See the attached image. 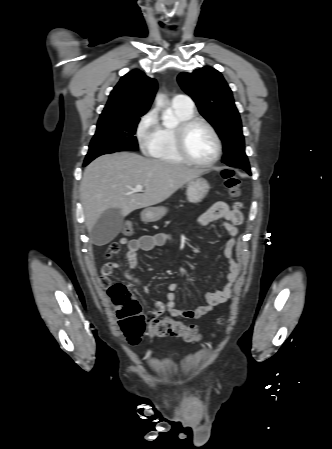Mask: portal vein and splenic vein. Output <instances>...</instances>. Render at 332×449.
I'll use <instances>...</instances> for the list:
<instances>
[{
  "instance_id": "1",
  "label": "portal vein and splenic vein",
  "mask_w": 332,
  "mask_h": 449,
  "mask_svg": "<svg viewBox=\"0 0 332 449\" xmlns=\"http://www.w3.org/2000/svg\"><path fill=\"white\" fill-rule=\"evenodd\" d=\"M143 187L142 185H136L134 188L131 189L132 193L142 192Z\"/></svg>"
}]
</instances>
